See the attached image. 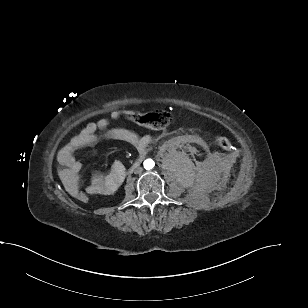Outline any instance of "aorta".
Wrapping results in <instances>:
<instances>
[{
	"label": "aorta",
	"instance_id": "obj_1",
	"mask_svg": "<svg viewBox=\"0 0 308 308\" xmlns=\"http://www.w3.org/2000/svg\"><path fill=\"white\" fill-rule=\"evenodd\" d=\"M155 166V162L152 159H147L144 161V168L146 170H151Z\"/></svg>",
	"mask_w": 308,
	"mask_h": 308
}]
</instances>
